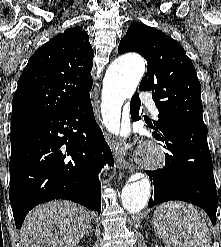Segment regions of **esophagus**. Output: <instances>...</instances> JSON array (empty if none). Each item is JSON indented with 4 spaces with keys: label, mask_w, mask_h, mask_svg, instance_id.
I'll list each match as a JSON object with an SVG mask.
<instances>
[{
    "label": "esophagus",
    "mask_w": 221,
    "mask_h": 247,
    "mask_svg": "<svg viewBox=\"0 0 221 247\" xmlns=\"http://www.w3.org/2000/svg\"><path fill=\"white\" fill-rule=\"evenodd\" d=\"M106 140L112 150L115 157L117 167L119 169H128L129 172L133 171V167L125 160V149L121 140H115L110 134L105 135Z\"/></svg>",
    "instance_id": "obj_1"
}]
</instances>
